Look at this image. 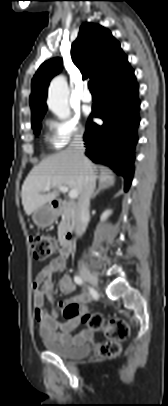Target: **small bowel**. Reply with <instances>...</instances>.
Instances as JSON below:
<instances>
[{"instance_id": "1", "label": "small bowel", "mask_w": 168, "mask_h": 406, "mask_svg": "<svg viewBox=\"0 0 168 406\" xmlns=\"http://www.w3.org/2000/svg\"><path fill=\"white\" fill-rule=\"evenodd\" d=\"M66 267V258L58 256L51 260L36 276L33 282V308L34 315L39 323L40 333L44 338L60 344H74L89 335V332H81L72 335L80 324L78 315L62 321L60 314L68 306L75 307L78 312H85L86 305L91 301V296L86 292L61 302L58 306L54 305L53 292L56 286L61 292L69 295L75 291V284L71 277L64 273ZM61 273L58 281L55 282L54 276ZM46 301L52 305L50 311L45 308Z\"/></svg>"}]
</instances>
